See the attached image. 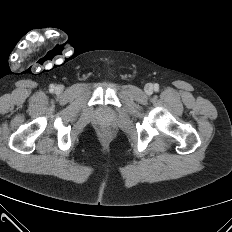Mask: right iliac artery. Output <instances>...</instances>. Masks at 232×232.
Segmentation results:
<instances>
[{
  "label": "right iliac artery",
  "instance_id": "obj_1",
  "mask_svg": "<svg viewBox=\"0 0 232 232\" xmlns=\"http://www.w3.org/2000/svg\"><path fill=\"white\" fill-rule=\"evenodd\" d=\"M50 90H52V91L54 90V85L50 86Z\"/></svg>",
  "mask_w": 232,
  "mask_h": 232
}]
</instances>
